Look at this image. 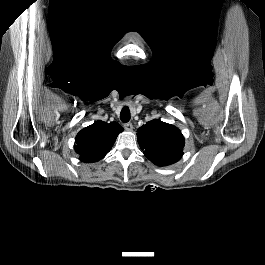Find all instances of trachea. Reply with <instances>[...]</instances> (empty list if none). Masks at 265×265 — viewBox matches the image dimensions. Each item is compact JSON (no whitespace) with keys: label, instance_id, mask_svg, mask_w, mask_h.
Returning <instances> with one entry per match:
<instances>
[{"label":"trachea","instance_id":"3493384b","mask_svg":"<svg viewBox=\"0 0 265 265\" xmlns=\"http://www.w3.org/2000/svg\"><path fill=\"white\" fill-rule=\"evenodd\" d=\"M120 119L122 122L127 123L130 120V110L127 106H124L120 113Z\"/></svg>","mask_w":265,"mask_h":265}]
</instances>
